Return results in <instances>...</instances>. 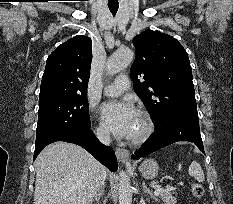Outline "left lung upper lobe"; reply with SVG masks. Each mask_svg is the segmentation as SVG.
Segmentation results:
<instances>
[{"instance_id":"obj_1","label":"left lung upper lobe","mask_w":233,"mask_h":204,"mask_svg":"<svg viewBox=\"0 0 233 204\" xmlns=\"http://www.w3.org/2000/svg\"><path fill=\"white\" fill-rule=\"evenodd\" d=\"M133 45L136 58L130 76L153 122L171 116L198 118L192 69L179 41L159 31L146 30L134 37Z\"/></svg>"}]
</instances>
